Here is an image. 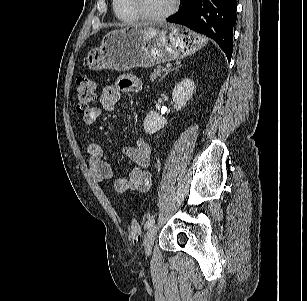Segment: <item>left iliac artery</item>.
Returning a JSON list of instances; mask_svg holds the SVG:
<instances>
[{"label": "left iliac artery", "instance_id": "obj_1", "mask_svg": "<svg viewBox=\"0 0 307 301\" xmlns=\"http://www.w3.org/2000/svg\"><path fill=\"white\" fill-rule=\"evenodd\" d=\"M154 223H155V219H154V217H152V218L147 220V222L145 224V227L147 229H149V228H151L154 225Z\"/></svg>", "mask_w": 307, "mask_h": 301}]
</instances>
